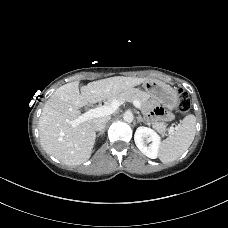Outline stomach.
Returning a JSON list of instances; mask_svg holds the SVG:
<instances>
[{
	"mask_svg": "<svg viewBox=\"0 0 228 228\" xmlns=\"http://www.w3.org/2000/svg\"><path fill=\"white\" fill-rule=\"evenodd\" d=\"M141 90L168 109H174L178 105L177 91L162 81L148 79L142 83Z\"/></svg>",
	"mask_w": 228,
	"mask_h": 228,
	"instance_id": "0dacf381",
	"label": "stomach"
}]
</instances>
